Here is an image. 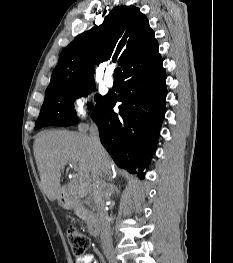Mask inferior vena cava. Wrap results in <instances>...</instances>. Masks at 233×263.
Returning <instances> with one entry per match:
<instances>
[{
    "mask_svg": "<svg viewBox=\"0 0 233 263\" xmlns=\"http://www.w3.org/2000/svg\"><path fill=\"white\" fill-rule=\"evenodd\" d=\"M90 139L92 142V147L95 153V157L97 160H100V153L102 151V145L99 139V132L98 127L95 123H92L90 126ZM98 179L93 180L94 183L92 184V193L93 199L95 201V206L97 210V217L99 220V224L101 227L100 239L104 254L108 259L109 263H117L115 258L113 245H112V237H111V226L110 220L105 209V202H104V194L102 191V187L98 184ZM89 183L88 181H83V185L87 186Z\"/></svg>",
    "mask_w": 233,
    "mask_h": 263,
    "instance_id": "obj_1",
    "label": "inferior vena cava"
}]
</instances>
